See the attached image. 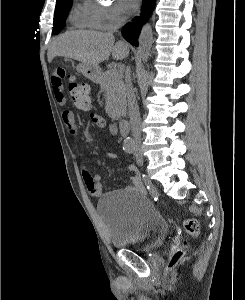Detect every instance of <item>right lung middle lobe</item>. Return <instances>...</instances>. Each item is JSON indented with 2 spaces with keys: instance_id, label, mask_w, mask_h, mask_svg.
Instances as JSON below:
<instances>
[{
  "instance_id": "1",
  "label": "right lung middle lobe",
  "mask_w": 245,
  "mask_h": 300,
  "mask_svg": "<svg viewBox=\"0 0 245 300\" xmlns=\"http://www.w3.org/2000/svg\"><path fill=\"white\" fill-rule=\"evenodd\" d=\"M72 5V0H58L54 14L53 34H58L64 28L65 19Z\"/></svg>"
}]
</instances>
